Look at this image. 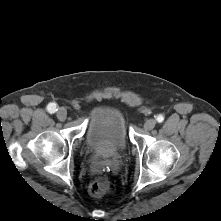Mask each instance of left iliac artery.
<instances>
[{"label":"left iliac artery","instance_id":"obj_1","mask_svg":"<svg viewBox=\"0 0 221 221\" xmlns=\"http://www.w3.org/2000/svg\"><path fill=\"white\" fill-rule=\"evenodd\" d=\"M156 120L158 123H161L164 121V116L162 114H159L157 117H156Z\"/></svg>","mask_w":221,"mask_h":221}]
</instances>
